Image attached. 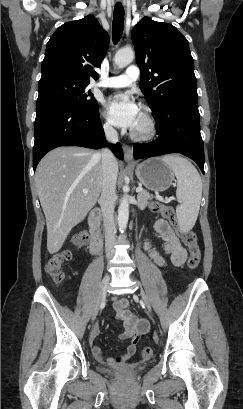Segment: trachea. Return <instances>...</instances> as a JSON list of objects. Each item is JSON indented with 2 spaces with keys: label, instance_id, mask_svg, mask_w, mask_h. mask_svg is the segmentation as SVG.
<instances>
[{
  "label": "trachea",
  "instance_id": "trachea-1",
  "mask_svg": "<svg viewBox=\"0 0 243 409\" xmlns=\"http://www.w3.org/2000/svg\"><path fill=\"white\" fill-rule=\"evenodd\" d=\"M124 28V8L121 3H116L114 7L113 23H112V37L116 44L122 37Z\"/></svg>",
  "mask_w": 243,
  "mask_h": 409
}]
</instances>
